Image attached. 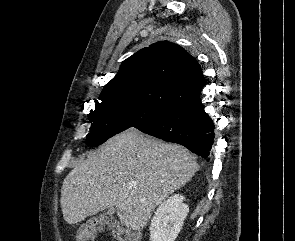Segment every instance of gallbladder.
Returning <instances> with one entry per match:
<instances>
[{"instance_id":"1","label":"gallbladder","mask_w":295,"mask_h":241,"mask_svg":"<svg viewBox=\"0 0 295 241\" xmlns=\"http://www.w3.org/2000/svg\"><path fill=\"white\" fill-rule=\"evenodd\" d=\"M115 212V209L114 208H109L108 211H107V214L111 215Z\"/></svg>"}]
</instances>
